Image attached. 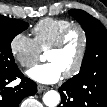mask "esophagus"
<instances>
[{"instance_id": "esophagus-1", "label": "esophagus", "mask_w": 107, "mask_h": 107, "mask_svg": "<svg viewBox=\"0 0 107 107\" xmlns=\"http://www.w3.org/2000/svg\"><path fill=\"white\" fill-rule=\"evenodd\" d=\"M48 88H49V87H47V86H44V85L39 84V85L37 86V91L40 93V92H42V91L47 90Z\"/></svg>"}]
</instances>
